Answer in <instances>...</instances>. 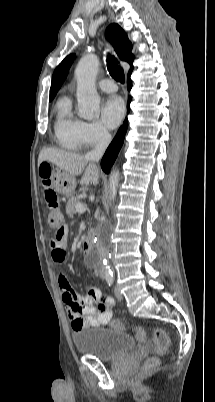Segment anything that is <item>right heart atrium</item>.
Returning <instances> with one entry per match:
<instances>
[{
	"label": "right heart atrium",
	"instance_id": "obj_1",
	"mask_svg": "<svg viewBox=\"0 0 215 402\" xmlns=\"http://www.w3.org/2000/svg\"><path fill=\"white\" fill-rule=\"evenodd\" d=\"M77 135L81 146H95L105 142L108 131L97 121H80L77 128Z\"/></svg>",
	"mask_w": 215,
	"mask_h": 402
}]
</instances>
